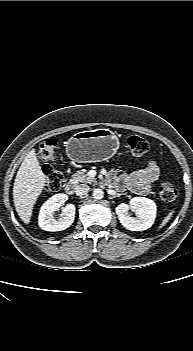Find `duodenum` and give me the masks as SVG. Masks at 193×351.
Instances as JSON below:
<instances>
[{
    "label": "duodenum",
    "mask_w": 193,
    "mask_h": 351,
    "mask_svg": "<svg viewBox=\"0 0 193 351\" xmlns=\"http://www.w3.org/2000/svg\"><path fill=\"white\" fill-rule=\"evenodd\" d=\"M65 188H66V191L70 194L73 193V191H74V185L72 182H68L66 184Z\"/></svg>",
    "instance_id": "410a0bca"
}]
</instances>
